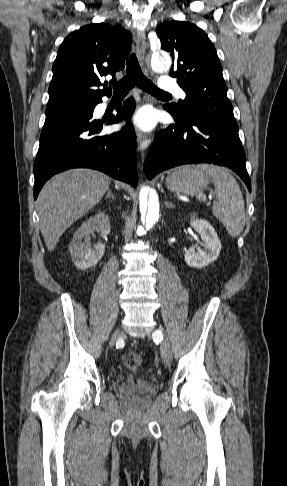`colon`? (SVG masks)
<instances>
[{"instance_id": "1", "label": "colon", "mask_w": 287, "mask_h": 486, "mask_svg": "<svg viewBox=\"0 0 287 486\" xmlns=\"http://www.w3.org/2000/svg\"><path fill=\"white\" fill-rule=\"evenodd\" d=\"M123 364L129 369H136L141 365L142 358L137 352H126L123 355Z\"/></svg>"}]
</instances>
